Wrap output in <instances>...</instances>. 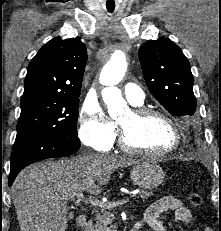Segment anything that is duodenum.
<instances>
[{
	"instance_id": "1",
	"label": "duodenum",
	"mask_w": 221,
	"mask_h": 231,
	"mask_svg": "<svg viewBox=\"0 0 221 231\" xmlns=\"http://www.w3.org/2000/svg\"><path fill=\"white\" fill-rule=\"evenodd\" d=\"M88 219L87 216L84 214H79L76 217V224L80 227V228H85L87 225ZM129 231H139V227L137 224H135L134 226L131 227V229Z\"/></svg>"
}]
</instances>
